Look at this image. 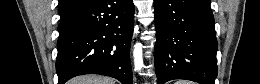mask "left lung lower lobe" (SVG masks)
Masks as SVG:
<instances>
[{"mask_svg": "<svg viewBox=\"0 0 260 84\" xmlns=\"http://www.w3.org/2000/svg\"><path fill=\"white\" fill-rule=\"evenodd\" d=\"M157 83L214 84L217 40L210 0H154Z\"/></svg>", "mask_w": 260, "mask_h": 84, "instance_id": "left-lung-lower-lobe-1", "label": "left lung lower lobe"}]
</instances>
